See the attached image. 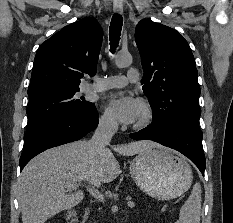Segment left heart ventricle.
I'll list each match as a JSON object with an SVG mask.
<instances>
[{
    "mask_svg": "<svg viewBox=\"0 0 233 223\" xmlns=\"http://www.w3.org/2000/svg\"><path fill=\"white\" fill-rule=\"evenodd\" d=\"M142 117H143V112H142L140 118L138 119V121H140L142 119Z\"/></svg>",
    "mask_w": 233,
    "mask_h": 223,
    "instance_id": "1",
    "label": "left heart ventricle"
}]
</instances>
